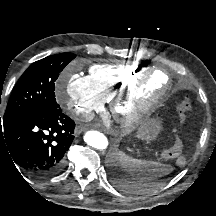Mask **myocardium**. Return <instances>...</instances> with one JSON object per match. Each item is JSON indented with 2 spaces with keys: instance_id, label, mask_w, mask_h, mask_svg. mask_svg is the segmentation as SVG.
Segmentation results:
<instances>
[{
  "instance_id": "f54148a6",
  "label": "myocardium",
  "mask_w": 216,
  "mask_h": 216,
  "mask_svg": "<svg viewBox=\"0 0 216 216\" xmlns=\"http://www.w3.org/2000/svg\"><path fill=\"white\" fill-rule=\"evenodd\" d=\"M158 73L165 75V85L155 93L146 92L147 86ZM170 88L171 79L166 72L159 69H150L144 74L137 76L129 85L110 99V110L122 128L126 130L133 129L150 115ZM129 105L134 106L133 112L124 114L122 109Z\"/></svg>"
}]
</instances>
